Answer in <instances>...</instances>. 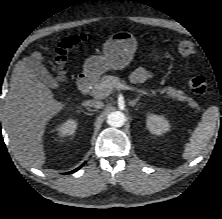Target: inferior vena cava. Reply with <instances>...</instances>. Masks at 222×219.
<instances>
[{
	"label": "inferior vena cava",
	"mask_w": 222,
	"mask_h": 219,
	"mask_svg": "<svg viewBox=\"0 0 222 219\" xmlns=\"http://www.w3.org/2000/svg\"><path fill=\"white\" fill-rule=\"evenodd\" d=\"M84 106H90V107H93V108H96V109H101L104 104L103 102L99 101V100H89V101H85L83 103Z\"/></svg>",
	"instance_id": "602c4592"
}]
</instances>
